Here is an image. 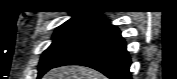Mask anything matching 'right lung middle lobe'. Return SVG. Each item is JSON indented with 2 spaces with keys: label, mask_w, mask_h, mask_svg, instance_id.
I'll use <instances>...</instances> for the list:
<instances>
[{
  "label": "right lung middle lobe",
  "mask_w": 177,
  "mask_h": 79,
  "mask_svg": "<svg viewBox=\"0 0 177 79\" xmlns=\"http://www.w3.org/2000/svg\"><path fill=\"white\" fill-rule=\"evenodd\" d=\"M102 20L103 18H90L67 21L59 26L54 33L53 43L41 57L38 78L84 41Z\"/></svg>",
  "instance_id": "obj_1"
}]
</instances>
